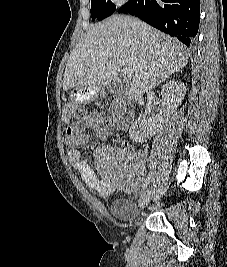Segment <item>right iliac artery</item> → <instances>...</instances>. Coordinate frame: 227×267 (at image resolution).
<instances>
[{
	"label": "right iliac artery",
	"mask_w": 227,
	"mask_h": 267,
	"mask_svg": "<svg viewBox=\"0 0 227 267\" xmlns=\"http://www.w3.org/2000/svg\"><path fill=\"white\" fill-rule=\"evenodd\" d=\"M149 182H150V177H148V178L145 180V182H144V184H143V190L148 186Z\"/></svg>",
	"instance_id": "obj_1"
}]
</instances>
